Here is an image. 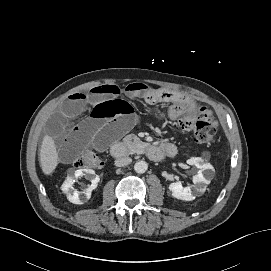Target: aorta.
Here are the masks:
<instances>
[{"mask_svg": "<svg viewBox=\"0 0 271 271\" xmlns=\"http://www.w3.org/2000/svg\"><path fill=\"white\" fill-rule=\"evenodd\" d=\"M148 169V164L146 161L139 160L134 165V170L136 173L142 174L145 173Z\"/></svg>", "mask_w": 271, "mask_h": 271, "instance_id": "1", "label": "aorta"}]
</instances>
